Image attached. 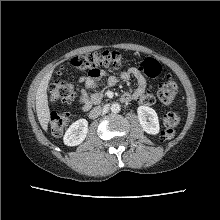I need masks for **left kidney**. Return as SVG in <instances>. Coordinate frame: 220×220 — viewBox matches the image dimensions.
<instances>
[{
    "instance_id": "1",
    "label": "left kidney",
    "mask_w": 220,
    "mask_h": 220,
    "mask_svg": "<svg viewBox=\"0 0 220 220\" xmlns=\"http://www.w3.org/2000/svg\"><path fill=\"white\" fill-rule=\"evenodd\" d=\"M137 114L139 123L146 133L152 135L159 133V120L154 109L147 106H139Z\"/></svg>"
}]
</instances>
